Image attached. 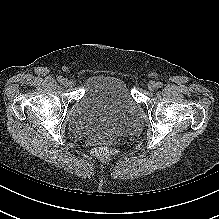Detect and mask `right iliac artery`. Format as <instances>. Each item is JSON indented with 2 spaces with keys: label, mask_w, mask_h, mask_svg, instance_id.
Segmentation results:
<instances>
[{
  "label": "right iliac artery",
  "mask_w": 219,
  "mask_h": 219,
  "mask_svg": "<svg viewBox=\"0 0 219 219\" xmlns=\"http://www.w3.org/2000/svg\"><path fill=\"white\" fill-rule=\"evenodd\" d=\"M57 80H58L59 82H63L64 78H63L62 76H59V77L57 78Z\"/></svg>",
  "instance_id": "1"
}]
</instances>
